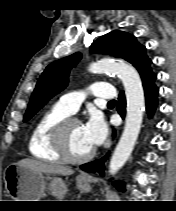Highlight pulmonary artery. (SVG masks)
Segmentation results:
<instances>
[{
	"mask_svg": "<svg viewBox=\"0 0 176 211\" xmlns=\"http://www.w3.org/2000/svg\"><path fill=\"white\" fill-rule=\"evenodd\" d=\"M90 90L93 96L101 99L112 100L116 95L113 86L110 83L105 82L94 83L90 87ZM84 99L85 97L81 92H71L63 95L57 104L69 114H74Z\"/></svg>",
	"mask_w": 176,
	"mask_h": 211,
	"instance_id": "pulmonary-artery-1",
	"label": "pulmonary artery"
}]
</instances>
